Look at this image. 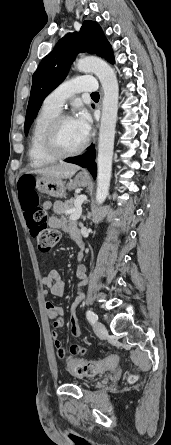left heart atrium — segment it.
Returning <instances> with one entry per match:
<instances>
[{"instance_id": "obj_1", "label": "left heart atrium", "mask_w": 171, "mask_h": 445, "mask_svg": "<svg viewBox=\"0 0 171 445\" xmlns=\"http://www.w3.org/2000/svg\"><path fill=\"white\" fill-rule=\"evenodd\" d=\"M75 121L78 124L82 133L87 137L89 135V133L91 131V127H92V120H91V117L88 114V112L85 110H81L77 114Z\"/></svg>"}]
</instances>
